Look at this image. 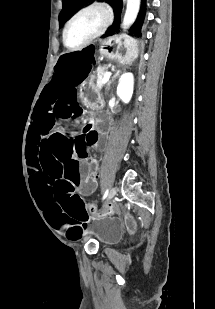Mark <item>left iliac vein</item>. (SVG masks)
Listing matches in <instances>:
<instances>
[{
    "label": "left iliac vein",
    "instance_id": "4c4485c4",
    "mask_svg": "<svg viewBox=\"0 0 215 309\" xmlns=\"http://www.w3.org/2000/svg\"><path fill=\"white\" fill-rule=\"evenodd\" d=\"M116 193H117V188L116 187L111 188V190L108 193V199L109 200L113 199L114 196L116 195ZM106 210H107V208L105 207L104 210H103V213H105Z\"/></svg>",
    "mask_w": 215,
    "mask_h": 309
}]
</instances>
